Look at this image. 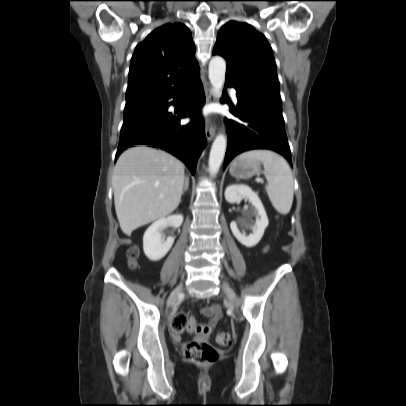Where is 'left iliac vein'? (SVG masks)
I'll return each mask as SVG.
<instances>
[{
    "mask_svg": "<svg viewBox=\"0 0 406 406\" xmlns=\"http://www.w3.org/2000/svg\"><path fill=\"white\" fill-rule=\"evenodd\" d=\"M223 289H224L225 293L227 294V296H228L229 300L231 301V303L233 305L237 306L238 305V298H237L235 292L228 286H224Z\"/></svg>",
    "mask_w": 406,
    "mask_h": 406,
    "instance_id": "left-iliac-vein-1",
    "label": "left iliac vein"
}]
</instances>
